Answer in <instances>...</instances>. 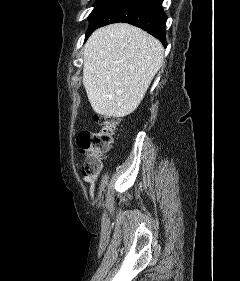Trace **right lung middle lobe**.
Returning a JSON list of instances; mask_svg holds the SVG:
<instances>
[{"label":"right lung middle lobe","mask_w":240,"mask_h":281,"mask_svg":"<svg viewBox=\"0 0 240 281\" xmlns=\"http://www.w3.org/2000/svg\"><path fill=\"white\" fill-rule=\"evenodd\" d=\"M121 0H96L94 4V10L89 15V29L87 36H89L94 28L99 24L102 18Z\"/></svg>","instance_id":"dd1d6c3e"}]
</instances>
